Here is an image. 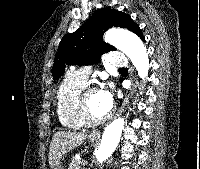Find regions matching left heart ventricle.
<instances>
[{
  "label": "left heart ventricle",
  "mask_w": 200,
  "mask_h": 169,
  "mask_svg": "<svg viewBox=\"0 0 200 169\" xmlns=\"http://www.w3.org/2000/svg\"><path fill=\"white\" fill-rule=\"evenodd\" d=\"M87 106L89 114L94 120L103 118L109 112L101 97L100 91H94L87 96Z\"/></svg>",
  "instance_id": "b2bd125f"
}]
</instances>
